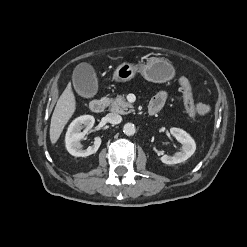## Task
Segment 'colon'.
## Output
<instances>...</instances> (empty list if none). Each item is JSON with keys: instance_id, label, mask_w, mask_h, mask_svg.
I'll use <instances>...</instances> for the list:
<instances>
[{"instance_id": "obj_1", "label": "colon", "mask_w": 247, "mask_h": 247, "mask_svg": "<svg viewBox=\"0 0 247 247\" xmlns=\"http://www.w3.org/2000/svg\"><path fill=\"white\" fill-rule=\"evenodd\" d=\"M179 87L183 94L186 111L189 116L195 118L197 115H200L197 105H195L193 101L191 84L186 77L181 76L179 78Z\"/></svg>"}]
</instances>
